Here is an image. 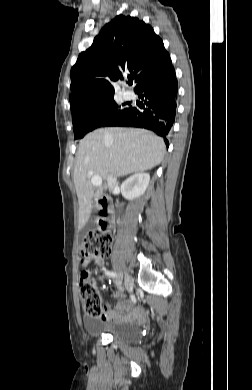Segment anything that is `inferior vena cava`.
<instances>
[{
  "label": "inferior vena cava",
  "instance_id": "obj_1",
  "mask_svg": "<svg viewBox=\"0 0 252 390\" xmlns=\"http://www.w3.org/2000/svg\"><path fill=\"white\" fill-rule=\"evenodd\" d=\"M107 186L109 190H113L117 186V179L115 176L109 175L107 179Z\"/></svg>",
  "mask_w": 252,
  "mask_h": 390
}]
</instances>
